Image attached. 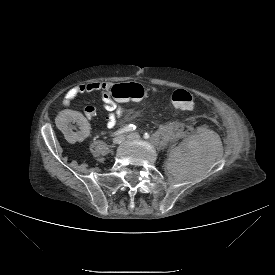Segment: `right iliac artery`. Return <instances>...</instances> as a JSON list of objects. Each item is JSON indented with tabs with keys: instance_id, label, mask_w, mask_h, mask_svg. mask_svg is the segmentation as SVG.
I'll return each instance as SVG.
<instances>
[{
	"instance_id": "right-iliac-artery-1",
	"label": "right iliac artery",
	"mask_w": 275,
	"mask_h": 275,
	"mask_svg": "<svg viewBox=\"0 0 275 275\" xmlns=\"http://www.w3.org/2000/svg\"><path fill=\"white\" fill-rule=\"evenodd\" d=\"M136 129V126L133 125V124H130L120 130H118L117 132H115L114 134H112V136H116V135H120V134H123V133H127V132H130V131H134Z\"/></svg>"
}]
</instances>
